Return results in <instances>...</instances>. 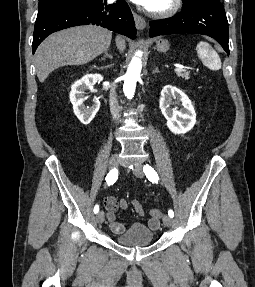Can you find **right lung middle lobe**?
Wrapping results in <instances>:
<instances>
[{"label":"right lung middle lobe","instance_id":"1","mask_svg":"<svg viewBox=\"0 0 255 287\" xmlns=\"http://www.w3.org/2000/svg\"><path fill=\"white\" fill-rule=\"evenodd\" d=\"M104 5H106L105 0L104 2L103 0H39L38 14L52 8L65 6H92L102 9Z\"/></svg>","mask_w":255,"mask_h":287}]
</instances>
